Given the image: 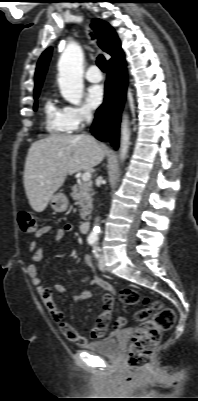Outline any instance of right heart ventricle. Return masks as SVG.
Returning <instances> with one entry per match:
<instances>
[{
    "label": "right heart ventricle",
    "mask_w": 198,
    "mask_h": 401,
    "mask_svg": "<svg viewBox=\"0 0 198 401\" xmlns=\"http://www.w3.org/2000/svg\"><path fill=\"white\" fill-rule=\"evenodd\" d=\"M46 128L53 134H68L72 131L64 114V109L56 105L52 98H47L43 106Z\"/></svg>",
    "instance_id": "e07e8e85"
}]
</instances>
